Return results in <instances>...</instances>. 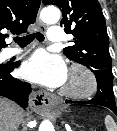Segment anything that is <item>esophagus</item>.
I'll return each instance as SVG.
<instances>
[{"label":"esophagus","mask_w":117,"mask_h":131,"mask_svg":"<svg viewBox=\"0 0 117 131\" xmlns=\"http://www.w3.org/2000/svg\"><path fill=\"white\" fill-rule=\"evenodd\" d=\"M37 25L41 31L46 30L45 24L37 17ZM53 96L45 91H38L30 98V107L38 114H48L52 109Z\"/></svg>","instance_id":"esophagus-1"}]
</instances>
